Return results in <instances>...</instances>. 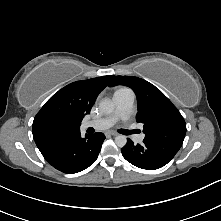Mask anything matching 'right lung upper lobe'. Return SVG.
<instances>
[{"label": "right lung upper lobe", "instance_id": "cb5924a9", "mask_svg": "<svg viewBox=\"0 0 221 221\" xmlns=\"http://www.w3.org/2000/svg\"><path fill=\"white\" fill-rule=\"evenodd\" d=\"M112 80L113 75H108L76 81L55 93L33 121V138L39 150L59 136L80 131L82 119Z\"/></svg>", "mask_w": 221, "mask_h": 221}]
</instances>
